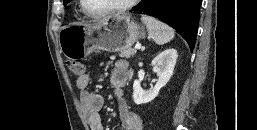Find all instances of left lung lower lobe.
Instances as JSON below:
<instances>
[{"label":"left lung lower lobe","instance_id":"0a47b994","mask_svg":"<svg viewBox=\"0 0 257 130\" xmlns=\"http://www.w3.org/2000/svg\"><path fill=\"white\" fill-rule=\"evenodd\" d=\"M202 0H142L132 11L160 19L194 48Z\"/></svg>","mask_w":257,"mask_h":130}]
</instances>
